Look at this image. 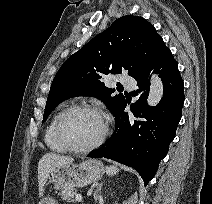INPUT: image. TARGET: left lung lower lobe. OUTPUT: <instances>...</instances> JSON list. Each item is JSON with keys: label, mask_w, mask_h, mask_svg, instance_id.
Here are the masks:
<instances>
[{"label": "left lung lower lobe", "mask_w": 212, "mask_h": 204, "mask_svg": "<svg viewBox=\"0 0 212 204\" xmlns=\"http://www.w3.org/2000/svg\"><path fill=\"white\" fill-rule=\"evenodd\" d=\"M163 81V98L155 107L147 105L150 70ZM138 89L133 96L139 99L131 105L134 116L124 112L126 99L114 114L116 128L106 145L91 152L88 157H105L134 168L145 186L154 177L160 161L166 156L175 137L184 104V83L178 63L166 48L142 72L134 77Z\"/></svg>", "instance_id": "obj_1"}]
</instances>
